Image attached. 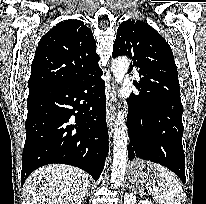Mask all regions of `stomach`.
Masks as SVG:
<instances>
[{
    "mask_svg": "<svg viewBox=\"0 0 206 204\" xmlns=\"http://www.w3.org/2000/svg\"><path fill=\"white\" fill-rule=\"evenodd\" d=\"M129 181L139 189L151 188L157 183V165L143 160H134L128 171Z\"/></svg>",
    "mask_w": 206,
    "mask_h": 204,
    "instance_id": "0dacf381",
    "label": "stomach"
}]
</instances>
